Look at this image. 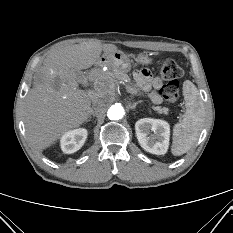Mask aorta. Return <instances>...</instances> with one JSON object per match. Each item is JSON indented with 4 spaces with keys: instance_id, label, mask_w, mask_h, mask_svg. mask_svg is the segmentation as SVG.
I'll return each mask as SVG.
<instances>
[{
    "instance_id": "1",
    "label": "aorta",
    "mask_w": 233,
    "mask_h": 233,
    "mask_svg": "<svg viewBox=\"0 0 233 233\" xmlns=\"http://www.w3.org/2000/svg\"><path fill=\"white\" fill-rule=\"evenodd\" d=\"M107 109H108L107 116L110 120H119L122 119L124 116V109L118 103L116 104L109 103Z\"/></svg>"
}]
</instances>
